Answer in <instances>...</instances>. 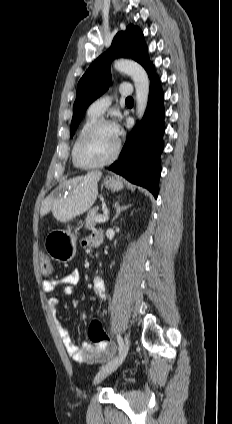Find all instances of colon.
Wrapping results in <instances>:
<instances>
[{"instance_id":"1","label":"colon","mask_w":232,"mask_h":424,"mask_svg":"<svg viewBox=\"0 0 232 424\" xmlns=\"http://www.w3.org/2000/svg\"><path fill=\"white\" fill-rule=\"evenodd\" d=\"M41 272L43 275H51L53 272V264L44 252L39 254ZM88 338L93 344L109 343V337L103 329V325L100 320L93 319L88 325Z\"/></svg>"}]
</instances>
